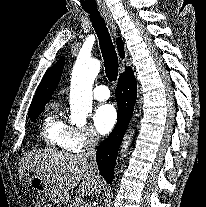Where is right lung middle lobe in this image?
<instances>
[{
    "instance_id": "right-lung-middle-lobe-1",
    "label": "right lung middle lobe",
    "mask_w": 206,
    "mask_h": 207,
    "mask_svg": "<svg viewBox=\"0 0 206 207\" xmlns=\"http://www.w3.org/2000/svg\"><path fill=\"white\" fill-rule=\"evenodd\" d=\"M44 105H41V106H38V107H35L29 110V117L32 119V121H35L37 119V117L43 111Z\"/></svg>"
}]
</instances>
